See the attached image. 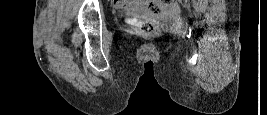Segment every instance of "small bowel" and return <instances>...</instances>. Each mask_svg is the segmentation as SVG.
<instances>
[{
  "instance_id": "small-bowel-1",
  "label": "small bowel",
  "mask_w": 267,
  "mask_h": 115,
  "mask_svg": "<svg viewBox=\"0 0 267 115\" xmlns=\"http://www.w3.org/2000/svg\"><path fill=\"white\" fill-rule=\"evenodd\" d=\"M115 7L132 15H141L145 12V3L136 1L120 0L115 2Z\"/></svg>"
}]
</instances>
